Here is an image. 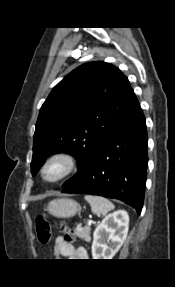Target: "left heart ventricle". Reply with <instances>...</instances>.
<instances>
[{"label":"left heart ventricle","instance_id":"obj_1","mask_svg":"<svg viewBox=\"0 0 175 287\" xmlns=\"http://www.w3.org/2000/svg\"><path fill=\"white\" fill-rule=\"evenodd\" d=\"M62 169L63 167L60 163L52 164L47 168L45 175L47 178H55L62 172Z\"/></svg>","mask_w":175,"mask_h":287}]
</instances>
